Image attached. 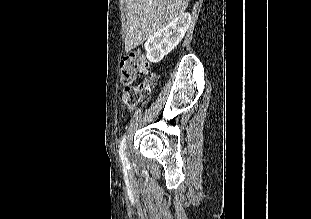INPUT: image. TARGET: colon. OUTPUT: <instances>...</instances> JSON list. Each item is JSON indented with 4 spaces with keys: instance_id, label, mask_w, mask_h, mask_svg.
Instances as JSON below:
<instances>
[{
    "instance_id": "5ec220e1",
    "label": "colon",
    "mask_w": 311,
    "mask_h": 219,
    "mask_svg": "<svg viewBox=\"0 0 311 219\" xmlns=\"http://www.w3.org/2000/svg\"><path fill=\"white\" fill-rule=\"evenodd\" d=\"M146 76L144 83L134 84L132 82L140 76ZM120 80L124 85L122 95L123 101L129 108L139 104L145 92H147L155 75L149 73L147 62L141 52H134L125 56L120 63Z\"/></svg>"
}]
</instances>
